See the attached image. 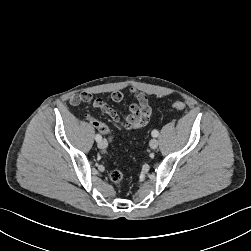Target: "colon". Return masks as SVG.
I'll use <instances>...</instances> for the list:
<instances>
[{"mask_svg": "<svg viewBox=\"0 0 251 251\" xmlns=\"http://www.w3.org/2000/svg\"><path fill=\"white\" fill-rule=\"evenodd\" d=\"M172 108L177 111H182L185 109V104L181 101H176L172 104ZM85 119L89 121L95 128L104 134H110L108 126L94 118L91 114L86 113L84 115ZM111 138V136H110ZM123 172L120 169H115L110 173V179L116 187H120L123 182Z\"/></svg>", "mask_w": 251, "mask_h": 251, "instance_id": "5ec220e1", "label": "colon"}]
</instances>
